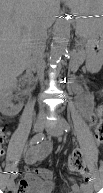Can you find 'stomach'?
Masks as SVG:
<instances>
[{
    "label": "stomach",
    "instance_id": "1",
    "mask_svg": "<svg viewBox=\"0 0 103 193\" xmlns=\"http://www.w3.org/2000/svg\"><path fill=\"white\" fill-rule=\"evenodd\" d=\"M70 2L71 11L77 16L100 17L103 12V0H70ZM87 31H90V28L83 29L82 27H78L80 34ZM87 39H91L90 34Z\"/></svg>",
    "mask_w": 103,
    "mask_h": 193
}]
</instances>
